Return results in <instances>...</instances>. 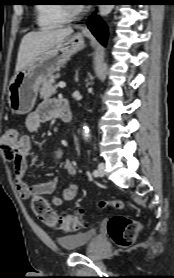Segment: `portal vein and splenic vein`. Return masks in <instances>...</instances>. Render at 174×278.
Segmentation results:
<instances>
[{
    "instance_id": "obj_1",
    "label": "portal vein and splenic vein",
    "mask_w": 174,
    "mask_h": 278,
    "mask_svg": "<svg viewBox=\"0 0 174 278\" xmlns=\"http://www.w3.org/2000/svg\"><path fill=\"white\" fill-rule=\"evenodd\" d=\"M58 86H59L60 88H65V87H66V83L63 82V81H61V82H59Z\"/></svg>"
}]
</instances>
